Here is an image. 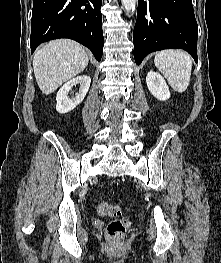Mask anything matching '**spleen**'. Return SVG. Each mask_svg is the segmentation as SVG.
Segmentation results:
<instances>
[{
    "mask_svg": "<svg viewBox=\"0 0 221 263\" xmlns=\"http://www.w3.org/2000/svg\"><path fill=\"white\" fill-rule=\"evenodd\" d=\"M154 63L175 91H186L192 71V59L188 53L182 50H163L155 55Z\"/></svg>",
    "mask_w": 221,
    "mask_h": 263,
    "instance_id": "obj_1",
    "label": "spleen"
}]
</instances>
